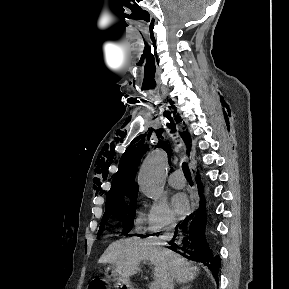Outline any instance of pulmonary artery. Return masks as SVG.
<instances>
[{
	"label": "pulmonary artery",
	"instance_id": "1",
	"mask_svg": "<svg viewBox=\"0 0 289 289\" xmlns=\"http://www.w3.org/2000/svg\"><path fill=\"white\" fill-rule=\"evenodd\" d=\"M170 186L176 189H181L185 186V179L180 171H174L168 178Z\"/></svg>",
	"mask_w": 289,
	"mask_h": 289
}]
</instances>
